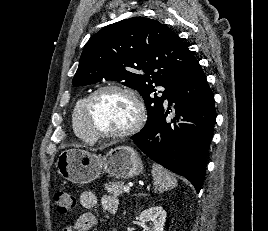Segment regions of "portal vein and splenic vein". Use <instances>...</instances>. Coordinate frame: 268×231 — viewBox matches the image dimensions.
<instances>
[{
  "label": "portal vein and splenic vein",
  "mask_w": 268,
  "mask_h": 231,
  "mask_svg": "<svg viewBox=\"0 0 268 231\" xmlns=\"http://www.w3.org/2000/svg\"><path fill=\"white\" fill-rule=\"evenodd\" d=\"M130 187H131V186H125V187H124V191H125V192H129V191H130Z\"/></svg>",
  "instance_id": "obj_1"
}]
</instances>
